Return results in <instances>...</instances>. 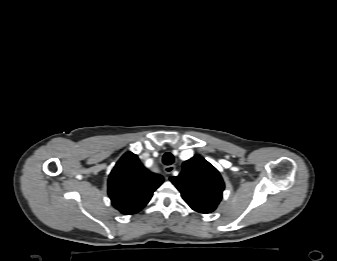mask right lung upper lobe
I'll list each match as a JSON object with an SVG mask.
<instances>
[{
	"mask_svg": "<svg viewBox=\"0 0 337 261\" xmlns=\"http://www.w3.org/2000/svg\"><path fill=\"white\" fill-rule=\"evenodd\" d=\"M163 177L151 173L132 152L116 163L108 179V195L112 205L122 214L139 212L150 201Z\"/></svg>",
	"mask_w": 337,
	"mask_h": 261,
	"instance_id": "obj_1",
	"label": "right lung upper lobe"
}]
</instances>
